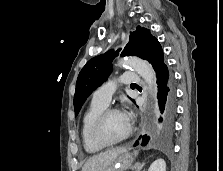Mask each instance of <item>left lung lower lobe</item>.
Segmentation results:
<instances>
[{
    "mask_svg": "<svg viewBox=\"0 0 223 171\" xmlns=\"http://www.w3.org/2000/svg\"><path fill=\"white\" fill-rule=\"evenodd\" d=\"M146 60L151 63L157 77L158 121L151 138L147 135L140 136L134 146H137L140 140L142 146L147 145L148 141L151 140L153 144L165 147L169 145L174 134L176 116L175 80L164 62V53L158 41L153 44Z\"/></svg>",
    "mask_w": 223,
    "mask_h": 171,
    "instance_id": "1",
    "label": "left lung lower lobe"
}]
</instances>
